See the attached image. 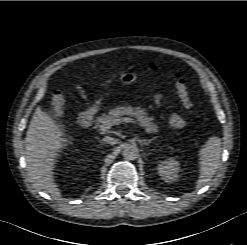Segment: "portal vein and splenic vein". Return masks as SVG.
Instances as JSON below:
<instances>
[{
	"instance_id": "obj_1",
	"label": "portal vein and splenic vein",
	"mask_w": 247,
	"mask_h": 245,
	"mask_svg": "<svg viewBox=\"0 0 247 245\" xmlns=\"http://www.w3.org/2000/svg\"><path fill=\"white\" fill-rule=\"evenodd\" d=\"M122 121H123V122H126V123H134V124H138V122H137L135 119H133V118H128V117L123 118ZM111 126H112V124H111L110 122L107 121V122H105V123H103V124L100 125V130H101V131H107L108 129L111 128Z\"/></svg>"
}]
</instances>
